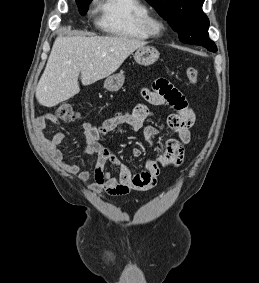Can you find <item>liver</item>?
Returning a JSON list of instances; mask_svg holds the SVG:
<instances>
[{
	"label": "liver",
	"instance_id": "1",
	"mask_svg": "<svg viewBox=\"0 0 259 283\" xmlns=\"http://www.w3.org/2000/svg\"><path fill=\"white\" fill-rule=\"evenodd\" d=\"M145 41L125 36H58L36 88L39 104L53 107L84 86L114 73ZM92 65V66H91Z\"/></svg>",
	"mask_w": 259,
	"mask_h": 283
}]
</instances>
